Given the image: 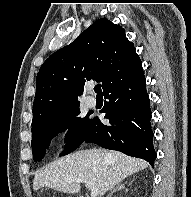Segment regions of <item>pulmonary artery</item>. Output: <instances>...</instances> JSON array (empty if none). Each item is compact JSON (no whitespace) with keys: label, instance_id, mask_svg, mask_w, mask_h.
<instances>
[{"label":"pulmonary artery","instance_id":"e3ab8cb5","mask_svg":"<svg viewBox=\"0 0 191 197\" xmlns=\"http://www.w3.org/2000/svg\"><path fill=\"white\" fill-rule=\"evenodd\" d=\"M89 90H91V87L89 88ZM86 102L90 107H94L96 105V99L94 96L92 95H88L86 97Z\"/></svg>","mask_w":191,"mask_h":197}]
</instances>
